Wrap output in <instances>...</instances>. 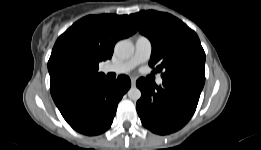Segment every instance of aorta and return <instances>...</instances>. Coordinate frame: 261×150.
Returning <instances> with one entry per match:
<instances>
[{
	"label": "aorta",
	"instance_id": "1",
	"mask_svg": "<svg viewBox=\"0 0 261 150\" xmlns=\"http://www.w3.org/2000/svg\"><path fill=\"white\" fill-rule=\"evenodd\" d=\"M114 51L118 57L128 59L134 54V45L127 39L121 40L116 43ZM127 94L133 101H137L141 97V91L137 87H131Z\"/></svg>",
	"mask_w": 261,
	"mask_h": 150
}]
</instances>
